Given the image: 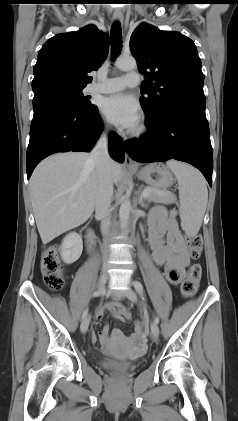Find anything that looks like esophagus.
<instances>
[{"mask_svg": "<svg viewBox=\"0 0 238 421\" xmlns=\"http://www.w3.org/2000/svg\"><path fill=\"white\" fill-rule=\"evenodd\" d=\"M123 18H124L123 14L121 12H119V11L114 12L113 19L115 21L123 22ZM124 164H125L126 167H129V168H134L136 166L133 159L130 157V155L128 153H125Z\"/></svg>", "mask_w": 238, "mask_h": 421, "instance_id": "34e87169", "label": "esophagus"}]
</instances>
